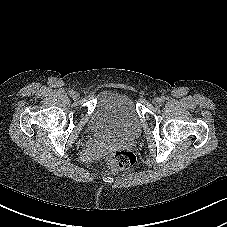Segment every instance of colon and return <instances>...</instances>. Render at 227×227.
I'll return each mask as SVG.
<instances>
[{"label":"colon","mask_w":227,"mask_h":227,"mask_svg":"<svg viewBox=\"0 0 227 227\" xmlns=\"http://www.w3.org/2000/svg\"><path fill=\"white\" fill-rule=\"evenodd\" d=\"M106 166L111 170L129 168L136 162L134 153L128 150H121L111 153L103 158Z\"/></svg>","instance_id":"obj_1"}]
</instances>
